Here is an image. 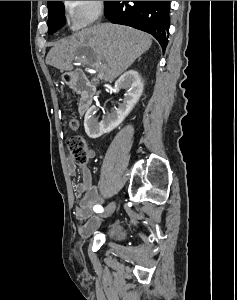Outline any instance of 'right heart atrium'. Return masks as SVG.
<instances>
[{
    "label": "right heart atrium",
    "mask_w": 237,
    "mask_h": 300,
    "mask_svg": "<svg viewBox=\"0 0 237 300\" xmlns=\"http://www.w3.org/2000/svg\"><path fill=\"white\" fill-rule=\"evenodd\" d=\"M67 21L73 30H79L96 22L103 14V1H64Z\"/></svg>",
    "instance_id": "obj_1"
}]
</instances>
